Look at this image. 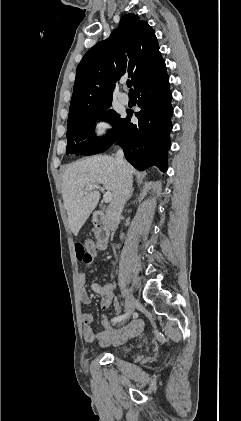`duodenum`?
<instances>
[{
  "instance_id": "410a0bca",
  "label": "duodenum",
  "mask_w": 241,
  "mask_h": 421,
  "mask_svg": "<svg viewBox=\"0 0 241 421\" xmlns=\"http://www.w3.org/2000/svg\"><path fill=\"white\" fill-rule=\"evenodd\" d=\"M92 221L95 228V238L100 249H105L109 240V229L106 214L103 211H94Z\"/></svg>"
}]
</instances>
